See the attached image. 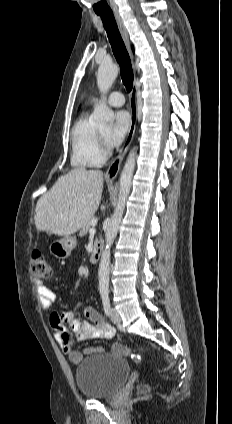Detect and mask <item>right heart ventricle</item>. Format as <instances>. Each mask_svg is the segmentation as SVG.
Returning <instances> with one entry per match:
<instances>
[{
	"label": "right heart ventricle",
	"instance_id": "e07e8e85",
	"mask_svg": "<svg viewBox=\"0 0 232 424\" xmlns=\"http://www.w3.org/2000/svg\"><path fill=\"white\" fill-rule=\"evenodd\" d=\"M98 129L91 123L89 114L84 113L75 123L71 137V165L76 169L102 166L106 155L103 152Z\"/></svg>",
	"mask_w": 232,
	"mask_h": 424
}]
</instances>
